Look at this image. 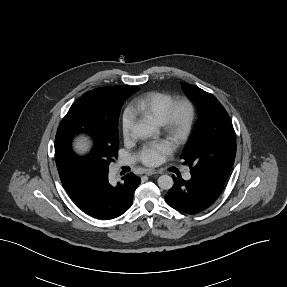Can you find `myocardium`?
Returning <instances> with one entry per match:
<instances>
[{
    "label": "myocardium",
    "mask_w": 287,
    "mask_h": 287,
    "mask_svg": "<svg viewBox=\"0 0 287 287\" xmlns=\"http://www.w3.org/2000/svg\"><path fill=\"white\" fill-rule=\"evenodd\" d=\"M198 119V108L189 98L174 101L161 124L164 133L176 144L184 143L192 133Z\"/></svg>",
    "instance_id": "1"
}]
</instances>
